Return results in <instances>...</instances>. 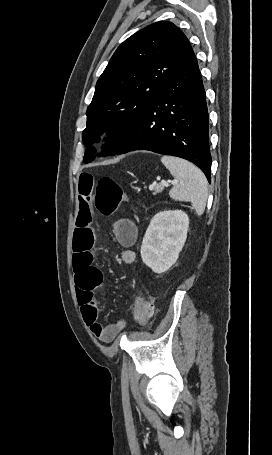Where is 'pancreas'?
<instances>
[{
    "mask_svg": "<svg viewBox=\"0 0 272 455\" xmlns=\"http://www.w3.org/2000/svg\"><path fill=\"white\" fill-rule=\"evenodd\" d=\"M163 189H164V187L161 184H157L154 188L153 195L161 193L163 191Z\"/></svg>",
    "mask_w": 272,
    "mask_h": 455,
    "instance_id": "obj_1",
    "label": "pancreas"
}]
</instances>
